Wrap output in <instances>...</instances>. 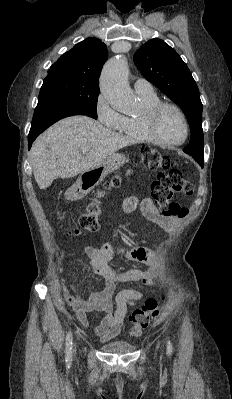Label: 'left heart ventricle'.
<instances>
[{"label": "left heart ventricle", "instance_id": "b2bd125f", "mask_svg": "<svg viewBox=\"0 0 232 399\" xmlns=\"http://www.w3.org/2000/svg\"><path fill=\"white\" fill-rule=\"evenodd\" d=\"M156 129L163 138L175 142L182 141L186 132L182 119L171 108L163 109L157 116Z\"/></svg>", "mask_w": 232, "mask_h": 399}]
</instances>
